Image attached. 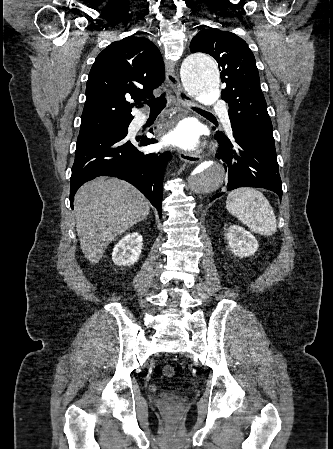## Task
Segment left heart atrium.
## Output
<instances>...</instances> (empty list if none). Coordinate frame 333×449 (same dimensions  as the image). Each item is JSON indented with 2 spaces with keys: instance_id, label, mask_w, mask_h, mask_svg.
Listing matches in <instances>:
<instances>
[{
  "instance_id": "obj_1",
  "label": "left heart atrium",
  "mask_w": 333,
  "mask_h": 449,
  "mask_svg": "<svg viewBox=\"0 0 333 449\" xmlns=\"http://www.w3.org/2000/svg\"><path fill=\"white\" fill-rule=\"evenodd\" d=\"M166 142L172 143L184 149H192L196 146L198 138L195 128L188 124L182 123L171 131L166 137Z\"/></svg>"
}]
</instances>
